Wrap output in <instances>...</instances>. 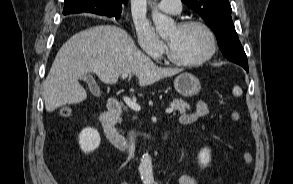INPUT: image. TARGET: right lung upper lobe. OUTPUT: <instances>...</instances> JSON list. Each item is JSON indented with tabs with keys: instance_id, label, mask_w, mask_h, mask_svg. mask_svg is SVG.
Masks as SVG:
<instances>
[{
	"instance_id": "cb5924a9",
	"label": "right lung upper lobe",
	"mask_w": 293,
	"mask_h": 184,
	"mask_svg": "<svg viewBox=\"0 0 293 184\" xmlns=\"http://www.w3.org/2000/svg\"><path fill=\"white\" fill-rule=\"evenodd\" d=\"M128 0H65L63 14L88 12L102 15L105 11L122 12V5Z\"/></svg>"
}]
</instances>
